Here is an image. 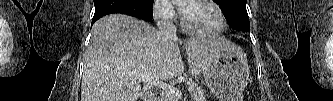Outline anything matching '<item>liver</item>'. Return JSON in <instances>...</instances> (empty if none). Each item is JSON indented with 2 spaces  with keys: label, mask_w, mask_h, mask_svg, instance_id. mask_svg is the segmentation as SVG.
<instances>
[{
  "label": "liver",
  "mask_w": 333,
  "mask_h": 101,
  "mask_svg": "<svg viewBox=\"0 0 333 101\" xmlns=\"http://www.w3.org/2000/svg\"><path fill=\"white\" fill-rule=\"evenodd\" d=\"M190 72L199 75L213 54V41L192 39L185 44ZM184 71L177 39L169 43L150 24L122 14L99 19L84 64L81 101H137L141 85L135 77L173 79Z\"/></svg>",
  "instance_id": "obj_1"
}]
</instances>
